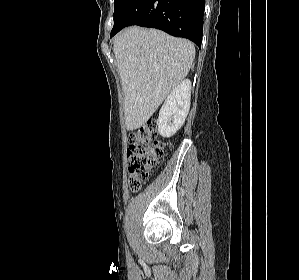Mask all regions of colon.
I'll use <instances>...</instances> for the list:
<instances>
[{
  "mask_svg": "<svg viewBox=\"0 0 299 280\" xmlns=\"http://www.w3.org/2000/svg\"><path fill=\"white\" fill-rule=\"evenodd\" d=\"M164 145L158 140L155 122L133 131L128 137L127 163L129 186L138 191L160 162Z\"/></svg>",
  "mask_w": 299,
  "mask_h": 280,
  "instance_id": "5ec220e1",
  "label": "colon"
}]
</instances>
